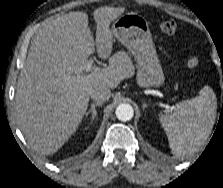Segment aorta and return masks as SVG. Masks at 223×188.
I'll return each mask as SVG.
<instances>
[{"mask_svg": "<svg viewBox=\"0 0 223 188\" xmlns=\"http://www.w3.org/2000/svg\"><path fill=\"white\" fill-rule=\"evenodd\" d=\"M116 116L121 121H129L134 116V110L130 104H119L116 108Z\"/></svg>", "mask_w": 223, "mask_h": 188, "instance_id": "762f6f07", "label": "aorta"}]
</instances>
